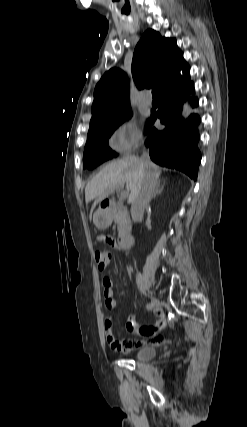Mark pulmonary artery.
I'll return each mask as SVG.
<instances>
[{"label":"pulmonary artery","instance_id":"pulmonary-artery-1","mask_svg":"<svg viewBox=\"0 0 247 427\" xmlns=\"http://www.w3.org/2000/svg\"><path fill=\"white\" fill-rule=\"evenodd\" d=\"M140 102H141L143 105L149 106V105H151V103H152V98H151V97H149L148 95H143V96H141V98H140Z\"/></svg>","mask_w":247,"mask_h":427}]
</instances>
